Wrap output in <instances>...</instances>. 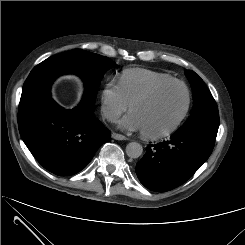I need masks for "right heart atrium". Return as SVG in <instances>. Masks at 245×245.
Returning <instances> with one entry per match:
<instances>
[{"label":"right heart atrium","instance_id":"right-heart-atrium-1","mask_svg":"<svg viewBox=\"0 0 245 245\" xmlns=\"http://www.w3.org/2000/svg\"><path fill=\"white\" fill-rule=\"evenodd\" d=\"M128 108L118 84L108 83L103 86L100 93V110L102 116L108 121L117 120Z\"/></svg>","mask_w":245,"mask_h":245}]
</instances>
